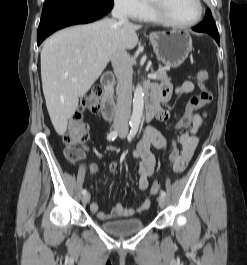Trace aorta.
I'll return each instance as SVG.
<instances>
[{
    "label": "aorta",
    "mask_w": 247,
    "mask_h": 265,
    "mask_svg": "<svg viewBox=\"0 0 247 265\" xmlns=\"http://www.w3.org/2000/svg\"><path fill=\"white\" fill-rule=\"evenodd\" d=\"M144 108V93L140 85H138L134 92L133 110L130 118L132 126H139Z\"/></svg>",
    "instance_id": "1"
}]
</instances>
